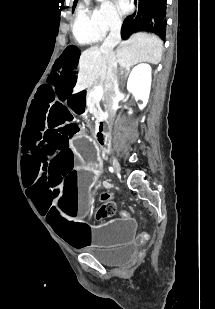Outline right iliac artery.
Listing matches in <instances>:
<instances>
[{"label":"right iliac artery","instance_id":"1","mask_svg":"<svg viewBox=\"0 0 215 309\" xmlns=\"http://www.w3.org/2000/svg\"><path fill=\"white\" fill-rule=\"evenodd\" d=\"M109 170H110L111 172H113V168H112V167H109Z\"/></svg>","mask_w":215,"mask_h":309}]
</instances>
